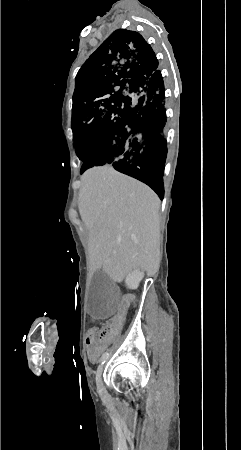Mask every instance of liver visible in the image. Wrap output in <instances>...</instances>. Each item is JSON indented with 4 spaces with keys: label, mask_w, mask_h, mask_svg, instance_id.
<instances>
[{
    "label": "liver",
    "mask_w": 241,
    "mask_h": 450,
    "mask_svg": "<svg viewBox=\"0 0 241 450\" xmlns=\"http://www.w3.org/2000/svg\"><path fill=\"white\" fill-rule=\"evenodd\" d=\"M79 214L89 230L91 274L103 270L114 282L137 268L159 270L160 200L146 184L112 166L81 176Z\"/></svg>",
    "instance_id": "1"
}]
</instances>
